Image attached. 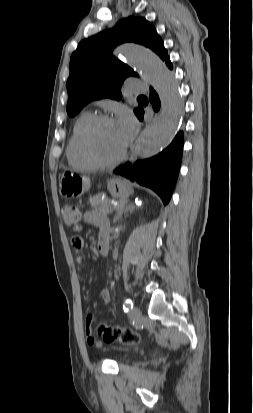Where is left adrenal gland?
Returning <instances> with one entry per match:
<instances>
[{"label": "left adrenal gland", "instance_id": "a2214340", "mask_svg": "<svg viewBox=\"0 0 253 413\" xmlns=\"http://www.w3.org/2000/svg\"><path fill=\"white\" fill-rule=\"evenodd\" d=\"M134 210H135L134 205H132V204L126 205L124 208L120 209L117 212V215L114 218V223H116L118 220H120L123 214L132 213Z\"/></svg>", "mask_w": 253, "mask_h": 413}]
</instances>
